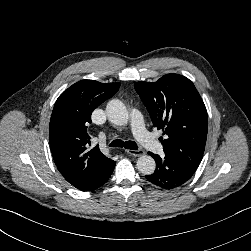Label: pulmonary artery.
I'll return each mask as SVG.
<instances>
[{
	"label": "pulmonary artery",
	"mask_w": 251,
	"mask_h": 251,
	"mask_svg": "<svg viewBox=\"0 0 251 251\" xmlns=\"http://www.w3.org/2000/svg\"><path fill=\"white\" fill-rule=\"evenodd\" d=\"M130 124L132 132L137 140L149 151L155 154H163L164 147L146 129L142 114L134 109L130 113Z\"/></svg>",
	"instance_id": "pulmonary-artery-1"
}]
</instances>
